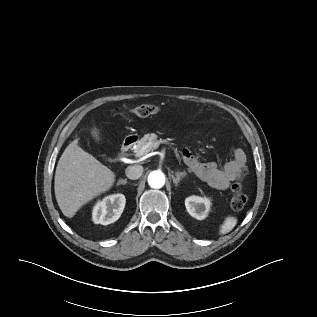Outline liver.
<instances>
[{"label": "liver", "mask_w": 317, "mask_h": 317, "mask_svg": "<svg viewBox=\"0 0 317 317\" xmlns=\"http://www.w3.org/2000/svg\"><path fill=\"white\" fill-rule=\"evenodd\" d=\"M92 134L97 137V131ZM115 173L72 141L61 155L55 172L54 190L64 216L72 218L94 197L108 191Z\"/></svg>", "instance_id": "1"}]
</instances>
